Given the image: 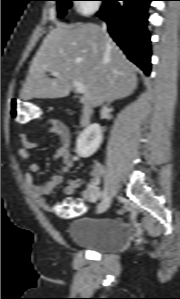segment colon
Here are the masks:
<instances>
[{"mask_svg": "<svg viewBox=\"0 0 180 299\" xmlns=\"http://www.w3.org/2000/svg\"><path fill=\"white\" fill-rule=\"evenodd\" d=\"M11 119L21 125L27 126L32 122L41 120L42 111L39 106L28 101L12 99L10 104ZM20 136H25L21 133ZM85 212V206L82 202L77 200H65L58 204L57 213L65 217H75Z\"/></svg>", "mask_w": 180, "mask_h": 299, "instance_id": "obj_1", "label": "colon"}]
</instances>
